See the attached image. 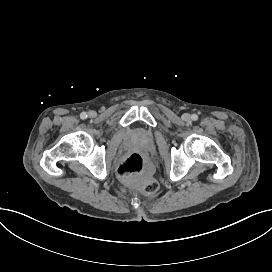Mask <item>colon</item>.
Returning a JSON list of instances; mask_svg holds the SVG:
<instances>
[{
  "instance_id": "1",
  "label": "colon",
  "mask_w": 272,
  "mask_h": 272,
  "mask_svg": "<svg viewBox=\"0 0 272 272\" xmlns=\"http://www.w3.org/2000/svg\"><path fill=\"white\" fill-rule=\"evenodd\" d=\"M149 170V162L137 153L121 159L117 165V171L124 177V179L131 178V176H139L147 173ZM144 185V191L147 194L153 195L158 190V183L155 180L147 179L144 182Z\"/></svg>"
}]
</instances>
